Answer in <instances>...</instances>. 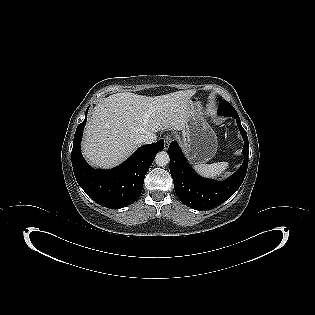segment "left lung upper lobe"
Wrapping results in <instances>:
<instances>
[{
  "label": "left lung upper lobe",
  "instance_id": "5c2ea615",
  "mask_svg": "<svg viewBox=\"0 0 315 315\" xmlns=\"http://www.w3.org/2000/svg\"><path fill=\"white\" fill-rule=\"evenodd\" d=\"M218 115H223L226 117H233L237 118L239 117L234 107L224 99H220V105L218 108Z\"/></svg>",
  "mask_w": 315,
  "mask_h": 315
}]
</instances>
